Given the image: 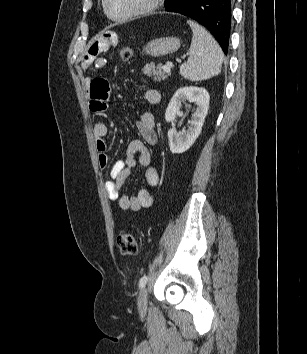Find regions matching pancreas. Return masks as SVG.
Listing matches in <instances>:
<instances>
[{
    "label": "pancreas",
    "mask_w": 307,
    "mask_h": 354,
    "mask_svg": "<svg viewBox=\"0 0 307 354\" xmlns=\"http://www.w3.org/2000/svg\"><path fill=\"white\" fill-rule=\"evenodd\" d=\"M143 73L146 74L148 77H152L154 81H161L167 77V75H165L164 73L162 65L155 66L154 64H147L143 68Z\"/></svg>",
    "instance_id": "pancreas-1"
}]
</instances>
